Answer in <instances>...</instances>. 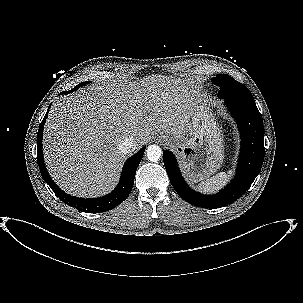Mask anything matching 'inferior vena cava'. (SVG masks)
<instances>
[{"label":"inferior vena cava","mask_w":303,"mask_h":303,"mask_svg":"<svg viewBox=\"0 0 303 303\" xmlns=\"http://www.w3.org/2000/svg\"><path fill=\"white\" fill-rule=\"evenodd\" d=\"M136 148L134 138L129 136L122 140V142L119 144V150L120 152L124 154H129L133 152Z\"/></svg>","instance_id":"obj_1"}]
</instances>
